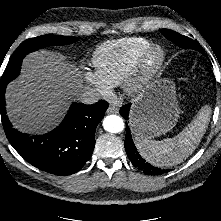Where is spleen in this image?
I'll use <instances>...</instances> for the list:
<instances>
[{"label":"spleen","instance_id":"1","mask_svg":"<svg viewBox=\"0 0 221 221\" xmlns=\"http://www.w3.org/2000/svg\"><path fill=\"white\" fill-rule=\"evenodd\" d=\"M211 108L204 106L191 123L173 138L161 141L135 138L141 156L156 167H171L187 159L201 142L210 121Z\"/></svg>","mask_w":221,"mask_h":221}]
</instances>
